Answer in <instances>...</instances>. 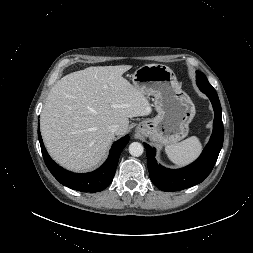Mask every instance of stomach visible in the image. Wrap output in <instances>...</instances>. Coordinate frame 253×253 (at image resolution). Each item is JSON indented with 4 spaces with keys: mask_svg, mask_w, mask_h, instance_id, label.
<instances>
[{
    "mask_svg": "<svg viewBox=\"0 0 253 253\" xmlns=\"http://www.w3.org/2000/svg\"><path fill=\"white\" fill-rule=\"evenodd\" d=\"M133 85L145 96L154 97L157 115L138 124L136 132L155 143H178L189 132L195 106L181 89L174 72L163 64H146L134 72Z\"/></svg>",
    "mask_w": 253,
    "mask_h": 253,
    "instance_id": "1",
    "label": "stomach"
}]
</instances>
